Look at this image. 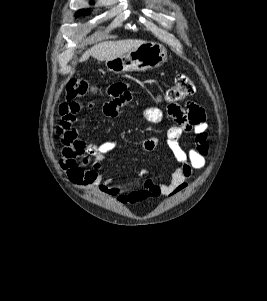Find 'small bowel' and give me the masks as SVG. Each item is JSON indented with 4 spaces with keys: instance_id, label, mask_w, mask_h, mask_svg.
Segmentation results:
<instances>
[{
    "instance_id": "obj_1",
    "label": "small bowel",
    "mask_w": 267,
    "mask_h": 301,
    "mask_svg": "<svg viewBox=\"0 0 267 301\" xmlns=\"http://www.w3.org/2000/svg\"><path fill=\"white\" fill-rule=\"evenodd\" d=\"M109 100L102 107L103 115L114 118L119 109L132 99L128 85L115 83L107 89ZM83 105L76 100H67L59 105L61 119L57 127L63 150L60 164L68 179L78 188L101 192L112 196L120 203L138 204L159 196H173L188 186V179L195 170H202L206 164L208 153L207 123L203 109L188 103L185 108L169 104L167 115L174 122L166 134L167 145L177 162L169 182L156 183L144 178L146 173L140 172L137 179L123 183H113L102 176L100 170L106 156L116 147L115 141L86 142L79 139L75 127L77 115ZM143 117L151 123H161L163 112L154 107L146 108ZM193 134L194 144L184 148L180 139L184 134ZM158 138L149 137L142 143L146 152L153 151L158 145Z\"/></svg>"
}]
</instances>
